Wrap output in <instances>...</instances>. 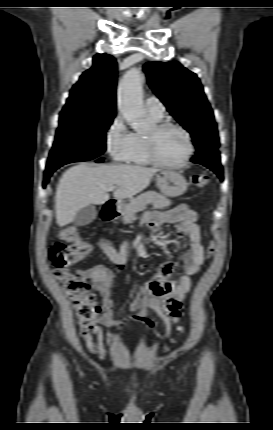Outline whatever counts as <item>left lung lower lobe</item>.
I'll use <instances>...</instances> for the list:
<instances>
[{
  "label": "left lung lower lobe",
  "instance_id": "1",
  "mask_svg": "<svg viewBox=\"0 0 273 430\" xmlns=\"http://www.w3.org/2000/svg\"><path fill=\"white\" fill-rule=\"evenodd\" d=\"M219 151L217 149L207 148L200 154L194 156L191 161L199 163L214 171L221 180H223V170L220 163Z\"/></svg>",
  "mask_w": 273,
  "mask_h": 430
}]
</instances>
